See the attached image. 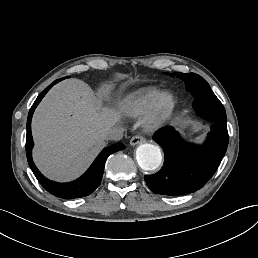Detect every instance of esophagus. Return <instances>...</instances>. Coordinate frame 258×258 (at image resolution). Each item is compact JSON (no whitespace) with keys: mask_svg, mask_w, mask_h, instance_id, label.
<instances>
[{"mask_svg":"<svg viewBox=\"0 0 258 258\" xmlns=\"http://www.w3.org/2000/svg\"><path fill=\"white\" fill-rule=\"evenodd\" d=\"M144 141H145L144 137H142L140 135H136V136L131 138L130 145L135 146L137 144L143 143Z\"/></svg>","mask_w":258,"mask_h":258,"instance_id":"34e87169","label":"esophagus"}]
</instances>
